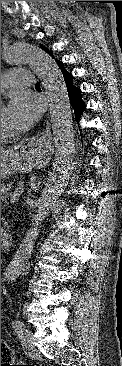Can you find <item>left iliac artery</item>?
<instances>
[{"mask_svg": "<svg viewBox=\"0 0 122 366\" xmlns=\"http://www.w3.org/2000/svg\"><path fill=\"white\" fill-rule=\"evenodd\" d=\"M12 326L17 333L23 334L24 324L20 320H14Z\"/></svg>", "mask_w": 122, "mask_h": 366, "instance_id": "1", "label": "left iliac artery"}]
</instances>
